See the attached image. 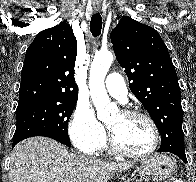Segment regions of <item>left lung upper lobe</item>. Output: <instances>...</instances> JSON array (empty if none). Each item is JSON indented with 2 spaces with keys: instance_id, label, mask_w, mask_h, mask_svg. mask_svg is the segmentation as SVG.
<instances>
[{
  "instance_id": "5c2ea615",
  "label": "left lung upper lobe",
  "mask_w": 196,
  "mask_h": 182,
  "mask_svg": "<svg viewBox=\"0 0 196 182\" xmlns=\"http://www.w3.org/2000/svg\"><path fill=\"white\" fill-rule=\"evenodd\" d=\"M117 61L129 87L150 114L161 134V151L185 150L183 110L175 67L158 32L122 17L111 32Z\"/></svg>"
}]
</instances>
